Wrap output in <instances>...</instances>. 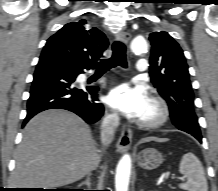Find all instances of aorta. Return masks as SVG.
Instances as JSON below:
<instances>
[{"instance_id":"obj_1","label":"aorta","mask_w":218,"mask_h":191,"mask_svg":"<svg viewBox=\"0 0 218 191\" xmlns=\"http://www.w3.org/2000/svg\"><path fill=\"white\" fill-rule=\"evenodd\" d=\"M130 48L133 53H143L147 50V41L142 37H137L132 40ZM131 172V157L125 154L119 161L115 175L116 191H128L129 179Z\"/></svg>"}]
</instances>
